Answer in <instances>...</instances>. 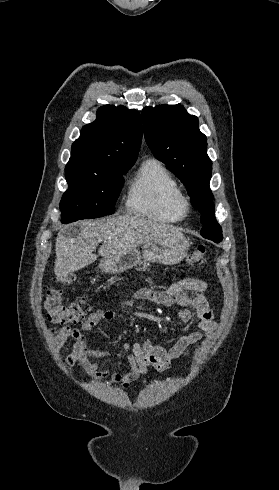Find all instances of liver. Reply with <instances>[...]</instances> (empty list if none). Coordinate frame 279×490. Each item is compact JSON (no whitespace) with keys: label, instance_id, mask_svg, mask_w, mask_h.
<instances>
[{"label":"liver","instance_id":"obj_1","mask_svg":"<svg viewBox=\"0 0 279 490\" xmlns=\"http://www.w3.org/2000/svg\"><path fill=\"white\" fill-rule=\"evenodd\" d=\"M76 238H64L59 232L55 244V276L62 278L93 264L98 256L93 254L97 246L99 256L114 258L124 252L136 250L141 244L153 240H170L183 236L178 228L156 224L137 216H117L103 220H82Z\"/></svg>","mask_w":279,"mask_h":490}]
</instances>
